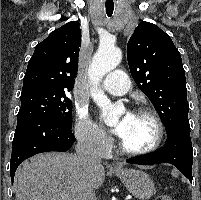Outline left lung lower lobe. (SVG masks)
<instances>
[{
	"label": "left lung lower lobe",
	"mask_w": 201,
	"mask_h": 200,
	"mask_svg": "<svg viewBox=\"0 0 201 200\" xmlns=\"http://www.w3.org/2000/svg\"><path fill=\"white\" fill-rule=\"evenodd\" d=\"M126 162L141 165L170 163L176 166L192 183L193 150L190 125L180 126L169 131L166 143L159 151L134 157Z\"/></svg>",
	"instance_id": "left-lung-lower-lobe-1"
}]
</instances>
